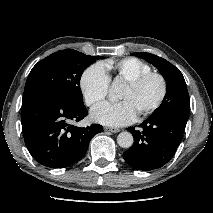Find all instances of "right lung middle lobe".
<instances>
[{
  "label": "right lung middle lobe",
  "instance_id": "dd1d6c3e",
  "mask_svg": "<svg viewBox=\"0 0 213 213\" xmlns=\"http://www.w3.org/2000/svg\"><path fill=\"white\" fill-rule=\"evenodd\" d=\"M100 56H88L73 49L55 52L39 61L30 71L25 89L44 88L68 104L83 107L80 79L83 71Z\"/></svg>",
  "mask_w": 213,
  "mask_h": 213
}]
</instances>
